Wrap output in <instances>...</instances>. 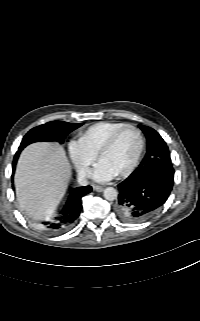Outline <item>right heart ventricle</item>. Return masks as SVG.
Instances as JSON below:
<instances>
[{
    "instance_id": "e07e8e85",
    "label": "right heart ventricle",
    "mask_w": 200,
    "mask_h": 321,
    "mask_svg": "<svg viewBox=\"0 0 200 321\" xmlns=\"http://www.w3.org/2000/svg\"><path fill=\"white\" fill-rule=\"evenodd\" d=\"M126 125L127 124L124 122H97L82 130L79 134V140L90 151L97 155L99 149L107 141V139L116 131H118Z\"/></svg>"
}]
</instances>
